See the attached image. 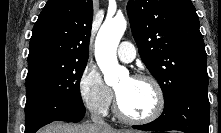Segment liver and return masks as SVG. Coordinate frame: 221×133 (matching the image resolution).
Instances as JSON below:
<instances>
[{
  "label": "liver",
  "mask_w": 221,
  "mask_h": 133,
  "mask_svg": "<svg viewBox=\"0 0 221 133\" xmlns=\"http://www.w3.org/2000/svg\"><path fill=\"white\" fill-rule=\"evenodd\" d=\"M38 133H138L134 130H117L111 127L100 128L94 124L73 125L68 123L54 122Z\"/></svg>",
  "instance_id": "1"
}]
</instances>
